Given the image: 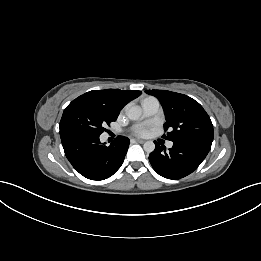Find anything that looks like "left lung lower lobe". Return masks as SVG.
I'll return each mask as SVG.
<instances>
[{"instance_id":"1","label":"left lung lower lobe","mask_w":261,"mask_h":261,"mask_svg":"<svg viewBox=\"0 0 261 261\" xmlns=\"http://www.w3.org/2000/svg\"><path fill=\"white\" fill-rule=\"evenodd\" d=\"M149 161L153 169L168 179H181L195 171L210 151L211 144L200 141H173L169 151L155 142Z\"/></svg>"}]
</instances>
